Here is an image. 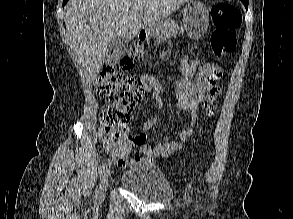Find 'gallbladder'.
Returning a JSON list of instances; mask_svg holds the SVG:
<instances>
[{"label": "gallbladder", "instance_id": "obj_1", "mask_svg": "<svg viewBox=\"0 0 293 219\" xmlns=\"http://www.w3.org/2000/svg\"><path fill=\"white\" fill-rule=\"evenodd\" d=\"M129 40L125 37H116L108 45L104 57V63L108 66L117 64L126 54Z\"/></svg>", "mask_w": 293, "mask_h": 219}]
</instances>
